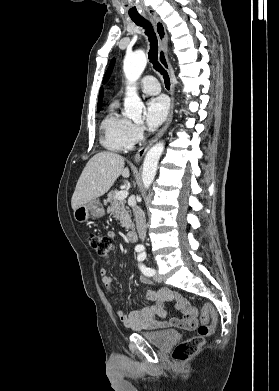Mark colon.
<instances>
[{
  "mask_svg": "<svg viewBox=\"0 0 279 391\" xmlns=\"http://www.w3.org/2000/svg\"><path fill=\"white\" fill-rule=\"evenodd\" d=\"M89 246L101 258H107L114 250L115 244L111 237L92 233L87 237ZM217 322V312L213 305L206 303L201 311L198 335L179 343L173 351V358L178 362L191 359L203 346L205 338L212 334Z\"/></svg>",
  "mask_w": 279,
  "mask_h": 391,
  "instance_id": "5ec220e1",
  "label": "colon"
}]
</instances>
